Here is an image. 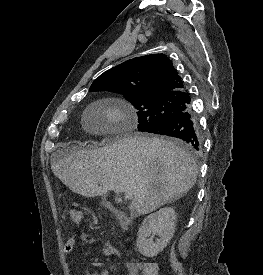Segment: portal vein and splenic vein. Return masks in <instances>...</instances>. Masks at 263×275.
Masks as SVG:
<instances>
[{
    "mask_svg": "<svg viewBox=\"0 0 263 275\" xmlns=\"http://www.w3.org/2000/svg\"><path fill=\"white\" fill-rule=\"evenodd\" d=\"M118 192V191H117ZM125 199L127 200H129V199H132V194L131 193H129V192H126L125 193Z\"/></svg>",
    "mask_w": 263,
    "mask_h": 275,
    "instance_id": "portal-vein-and-splenic-vein-1",
    "label": "portal vein and splenic vein"
}]
</instances>
